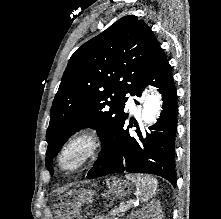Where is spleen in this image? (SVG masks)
I'll return each mask as SVG.
<instances>
[{
	"instance_id": "obj_1",
	"label": "spleen",
	"mask_w": 221,
	"mask_h": 219,
	"mask_svg": "<svg viewBox=\"0 0 221 219\" xmlns=\"http://www.w3.org/2000/svg\"><path fill=\"white\" fill-rule=\"evenodd\" d=\"M130 179L137 188V193L140 195L143 202H147L156 192L157 180L150 176H126Z\"/></svg>"
}]
</instances>
